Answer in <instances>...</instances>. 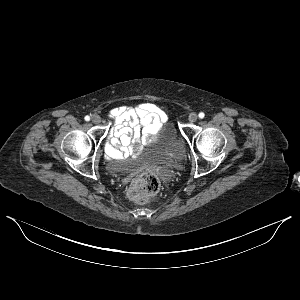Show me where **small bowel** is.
<instances>
[{"instance_id": "c3829d8e", "label": "small bowel", "mask_w": 300, "mask_h": 300, "mask_svg": "<svg viewBox=\"0 0 300 300\" xmlns=\"http://www.w3.org/2000/svg\"><path fill=\"white\" fill-rule=\"evenodd\" d=\"M109 117L113 127L105 150L112 158H122L152 142L167 120L163 110L148 102L135 107H115Z\"/></svg>"}]
</instances>
